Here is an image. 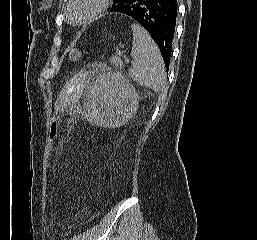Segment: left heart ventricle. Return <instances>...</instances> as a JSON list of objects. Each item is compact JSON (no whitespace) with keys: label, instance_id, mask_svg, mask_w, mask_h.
Masks as SVG:
<instances>
[{"label":"left heart ventricle","instance_id":"obj_1","mask_svg":"<svg viewBox=\"0 0 257 240\" xmlns=\"http://www.w3.org/2000/svg\"><path fill=\"white\" fill-rule=\"evenodd\" d=\"M93 6V0H77L70 9L73 20L78 21L84 18Z\"/></svg>","mask_w":257,"mask_h":240}]
</instances>
